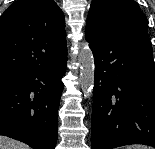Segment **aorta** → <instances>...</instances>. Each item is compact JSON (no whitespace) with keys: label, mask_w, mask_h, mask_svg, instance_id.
Segmentation results:
<instances>
[{"label":"aorta","mask_w":155,"mask_h":149,"mask_svg":"<svg viewBox=\"0 0 155 149\" xmlns=\"http://www.w3.org/2000/svg\"><path fill=\"white\" fill-rule=\"evenodd\" d=\"M78 62L80 65V86L84 93H91L94 86L95 78V65L92 50L88 43L83 45L79 56Z\"/></svg>","instance_id":"aorta-1"}]
</instances>
